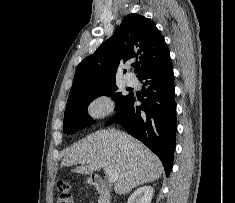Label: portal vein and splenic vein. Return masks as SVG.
Wrapping results in <instances>:
<instances>
[{"instance_id":"18ae733b","label":"portal vein and splenic vein","mask_w":235,"mask_h":203,"mask_svg":"<svg viewBox=\"0 0 235 203\" xmlns=\"http://www.w3.org/2000/svg\"><path fill=\"white\" fill-rule=\"evenodd\" d=\"M105 171L108 175V181L110 183H114L118 178V174L116 172H114L113 170H111L109 167H106Z\"/></svg>"}]
</instances>
